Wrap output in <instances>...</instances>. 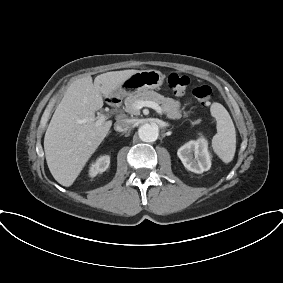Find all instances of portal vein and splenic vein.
Listing matches in <instances>:
<instances>
[{"mask_svg": "<svg viewBox=\"0 0 283 283\" xmlns=\"http://www.w3.org/2000/svg\"><path fill=\"white\" fill-rule=\"evenodd\" d=\"M143 107H150V108L154 109L158 114H162V113H163V110H162L161 106H160L158 103L154 102V101H148V100H146V101H137V102H135V103L133 104V108H134L135 110H140V109H142ZM106 119H107V116H106V115H104V114H99V115L97 116V121H96V123H97V124H101V123H103ZM86 121H87L86 119H83V120H80V123H84V122H86Z\"/></svg>", "mask_w": 283, "mask_h": 283, "instance_id": "1", "label": "portal vein and splenic vein"}]
</instances>
